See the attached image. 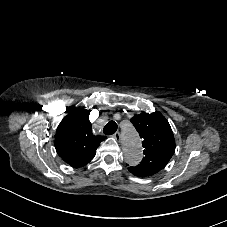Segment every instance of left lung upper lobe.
<instances>
[{
    "label": "left lung upper lobe",
    "instance_id": "left-lung-upper-lobe-1",
    "mask_svg": "<svg viewBox=\"0 0 227 227\" xmlns=\"http://www.w3.org/2000/svg\"><path fill=\"white\" fill-rule=\"evenodd\" d=\"M130 121L143 139L144 157L141 163L128 170L138 177L151 176L162 170L175 151L170 124L160 112L135 115Z\"/></svg>",
    "mask_w": 227,
    "mask_h": 227
}]
</instances>
